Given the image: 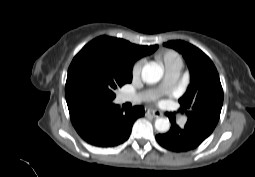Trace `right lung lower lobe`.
<instances>
[{
	"label": "right lung lower lobe",
	"instance_id": "right-lung-lower-lobe-1",
	"mask_svg": "<svg viewBox=\"0 0 255 177\" xmlns=\"http://www.w3.org/2000/svg\"><path fill=\"white\" fill-rule=\"evenodd\" d=\"M68 109L77 133L97 147H115L125 142L135 120L144 115L141 106L123 111L112 102L90 98L68 105Z\"/></svg>",
	"mask_w": 255,
	"mask_h": 177
}]
</instances>
